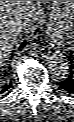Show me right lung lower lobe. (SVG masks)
<instances>
[{
	"instance_id": "obj_1",
	"label": "right lung lower lobe",
	"mask_w": 74,
	"mask_h": 122,
	"mask_svg": "<svg viewBox=\"0 0 74 122\" xmlns=\"http://www.w3.org/2000/svg\"><path fill=\"white\" fill-rule=\"evenodd\" d=\"M26 45V42H23L20 46V48H23L24 46ZM11 84L3 87V88H0V94L3 93L4 91L8 90L10 88Z\"/></svg>"
}]
</instances>
